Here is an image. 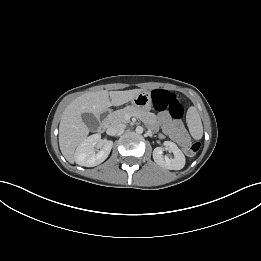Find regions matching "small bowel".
Masks as SVG:
<instances>
[{"label": "small bowel", "mask_w": 261, "mask_h": 261, "mask_svg": "<svg viewBox=\"0 0 261 261\" xmlns=\"http://www.w3.org/2000/svg\"><path fill=\"white\" fill-rule=\"evenodd\" d=\"M161 121L163 124V133L165 135H168L179 145H185L189 143V135L181 122L171 120L168 117H163Z\"/></svg>", "instance_id": "c3829d8e"}]
</instances>
